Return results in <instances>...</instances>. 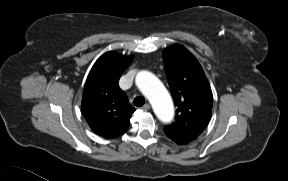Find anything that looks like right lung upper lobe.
I'll list each match as a JSON object with an SVG mask.
<instances>
[{"label":"right lung upper lobe","mask_w":288,"mask_h":181,"mask_svg":"<svg viewBox=\"0 0 288 181\" xmlns=\"http://www.w3.org/2000/svg\"><path fill=\"white\" fill-rule=\"evenodd\" d=\"M133 56L106 52L92 67L83 92L82 112L91 129L105 138L124 134L135 111L118 81Z\"/></svg>","instance_id":"right-lung-upper-lobe-1"}]
</instances>
